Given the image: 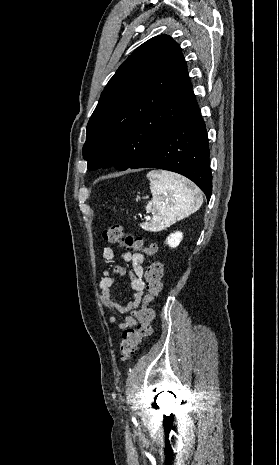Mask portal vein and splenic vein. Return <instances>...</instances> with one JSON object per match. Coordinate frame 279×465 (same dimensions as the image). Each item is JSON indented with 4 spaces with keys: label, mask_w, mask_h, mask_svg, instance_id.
<instances>
[{
    "label": "portal vein and splenic vein",
    "mask_w": 279,
    "mask_h": 465,
    "mask_svg": "<svg viewBox=\"0 0 279 465\" xmlns=\"http://www.w3.org/2000/svg\"><path fill=\"white\" fill-rule=\"evenodd\" d=\"M146 218H147V219H150V216H147Z\"/></svg>",
    "instance_id": "18ae733b"
}]
</instances>
